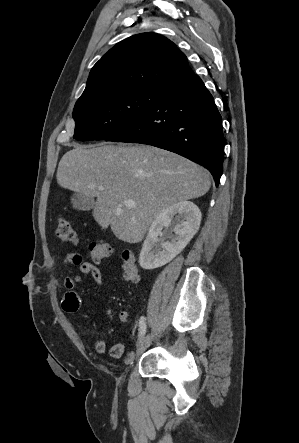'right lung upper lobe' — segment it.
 Returning a JSON list of instances; mask_svg holds the SVG:
<instances>
[{"instance_id":"right-lung-upper-lobe-1","label":"right lung upper lobe","mask_w":299,"mask_h":443,"mask_svg":"<svg viewBox=\"0 0 299 443\" xmlns=\"http://www.w3.org/2000/svg\"><path fill=\"white\" fill-rule=\"evenodd\" d=\"M187 57L162 35H133L110 49L92 68L78 99L121 88L164 91L193 75Z\"/></svg>"}]
</instances>
